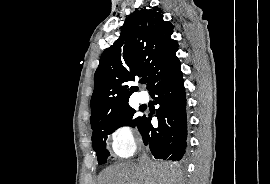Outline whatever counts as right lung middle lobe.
<instances>
[{
  "instance_id": "dd1d6c3e",
  "label": "right lung middle lobe",
  "mask_w": 270,
  "mask_h": 184,
  "mask_svg": "<svg viewBox=\"0 0 270 184\" xmlns=\"http://www.w3.org/2000/svg\"><path fill=\"white\" fill-rule=\"evenodd\" d=\"M135 112L136 110L126 105L110 117L91 125L93 130L92 146L99 164L105 163L109 156V151L106 149V139L109 134L121 126L129 125L139 128L144 116L134 117Z\"/></svg>"
}]
</instances>
